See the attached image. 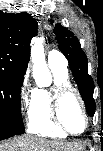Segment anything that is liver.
I'll return each instance as SVG.
<instances>
[{"label": "liver", "mask_w": 103, "mask_h": 151, "mask_svg": "<svg viewBox=\"0 0 103 151\" xmlns=\"http://www.w3.org/2000/svg\"><path fill=\"white\" fill-rule=\"evenodd\" d=\"M75 143L47 140L44 138L23 135L8 142H2L0 151H80Z\"/></svg>", "instance_id": "obj_1"}]
</instances>
